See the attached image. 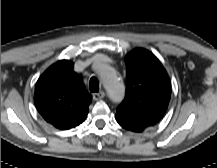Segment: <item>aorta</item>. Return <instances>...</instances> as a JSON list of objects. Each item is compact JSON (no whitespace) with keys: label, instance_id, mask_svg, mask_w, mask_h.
Returning <instances> with one entry per match:
<instances>
[{"label":"aorta","instance_id":"1","mask_svg":"<svg viewBox=\"0 0 217 168\" xmlns=\"http://www.w3.org/2000/svg\"><path fill=\"white\" fill-rule=\"evenodd\" d=\"M99 74L111 100L120 102L124 97V85L116 71L109 65L101 63Z\"/></svg>","mask_w":217,"mask_h":168}]
</instances>
